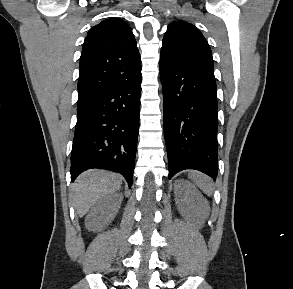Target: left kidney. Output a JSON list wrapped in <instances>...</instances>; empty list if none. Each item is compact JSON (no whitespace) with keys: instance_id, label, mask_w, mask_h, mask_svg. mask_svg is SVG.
<instances>
[{"instance_id":"obj_1","label":"left kidney","mask_w":293,"mask_h":289,"mask_svg":"<svg viewBox=\"0 0 293 289\" xmlns=\"http://www.w3.org/2000/svg\"><path fill=\"white\" fill-rule=\"evenodd\" d=\"M174 188L176 204L181 214L192 212L196 222L203 223L210 212L208 201L187 181L176 180Z\"/></svg>"}]
</instances>
